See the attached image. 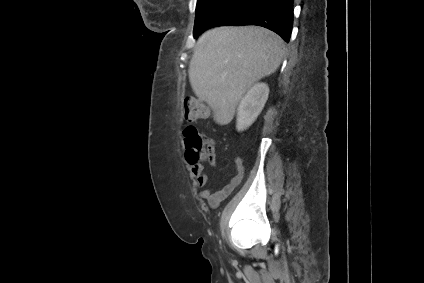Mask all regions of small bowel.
Listing matches in <instances>:
<instances>
[{"instance_id": "obj_1", "label": "small bowel", "mask_w": 424, "mask_h": 283, "mask_svg": "<svg viewBox=\"0 0 424 283\" xmlns=\"http://www.w3.org/2000/svg\"><path fill=\"white\" fill-rule=\"evenodd\" d=\"M188 167L193 176L194 183L197 187H204L208 184V175L204 172L202 163H193L187 158ZM245 174V166L241 157L235 158V172L230 181L220 190L213 191L205 188L200 191L199 195L206 200L209 206L215 208L226 199L239 186Z\"/></svg>"}]
</instances>
